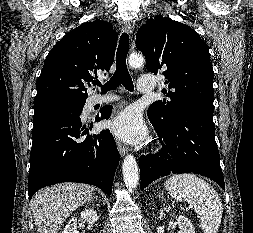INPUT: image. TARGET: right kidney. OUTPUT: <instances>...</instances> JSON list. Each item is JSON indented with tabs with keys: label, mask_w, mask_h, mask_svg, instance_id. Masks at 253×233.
Wrapping results in <instances>:
<instances>
[{
	"label": "right kidney",
	"mask_w": 253,
	"mask_h": 233,
	"mask_svg": "<svg viewBox=\"0 0 253 233\" xmlns=\"http://www.w3.org/2000/svg\"><path fill=\"white\" fill-rule=\"evenodd\" d=\"M81 218L90 224H94L98 220V215L93 209H86L81 212ZM77 218H71L66 224L62 233H76Z\"/></svg>",
	"instance_id": "1"
}]
</instances>
